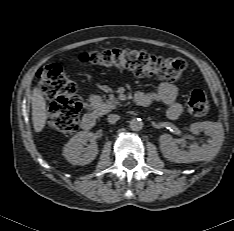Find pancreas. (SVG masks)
<instances>
[{
    "instance_id": "obj_1",
    "label": "pancreas",
    "mask_w": 234,
    "mask_h": 231,
    "mask_svg": "<svg viewBox=\"0 0 234 231\" xmlns=\"http://www.w3.org/2000/svg\"><path fill=\"white\" fill-rule=\"evenodd\" d=\"M89 107L93 112L98 115L102 116L104 114L109 113L112 109L115 108L116 104L118 103L116 100H107L104 102L102 97L99 95H92L89 97Z\"/></svg>"
}]
</instances>
